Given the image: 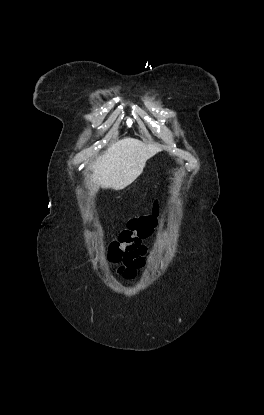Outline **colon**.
<instances>
[{"instance_id": "1", "label": "colon", "mask_w": 264, "mask_h": 415, "mask_svg": "<svg viewBox=\"0 0 264 415\" xmlns=\"http://www.w3.org/2000/svg\"><path fill=\"white\" fill-rule=\"evenodd\" d=\"M157 213V207H154L150 214L129 221L127 227L119 233L118 238L111 244V249L107 255L110 263L130 264L141 243L151 235Z\"/></svg>"}]
</instances>
